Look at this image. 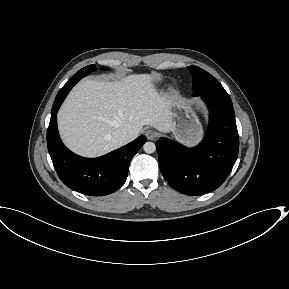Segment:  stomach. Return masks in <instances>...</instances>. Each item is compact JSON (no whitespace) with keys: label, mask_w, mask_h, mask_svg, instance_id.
<instances>
[{"label":"stomach","mask_w":289,"mask_h":289,"mask_svg":"<svg viewBox=\"0 0 289 289\" xmlns=\"http://www.w3.org/2000/svg\"><path fill=\"white\" fill-rule=\"evenodd\" d=\"M171 133L181 143L193 146L203 135L201 123L193 109L181 100H172Z\"/></svg>","instance_id":"stomach-1"}]
</instances>
